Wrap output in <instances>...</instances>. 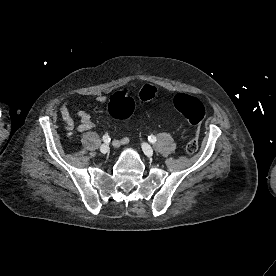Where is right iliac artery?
I'll list each match as a JSON object with an SVG mask.
<instances>
[{
  "instance_id": "82829eb1",
  "label": "right iliac artery",
  "mask_w": 276,
  "mask_h": 276,
  "mask_svg": "<svg viewBox=\"0 0 276 276\" xmlns=\"http://www.w3.org/2000/svg\"><path fill=\"white\" fill-rule=\"evenodd\" d=\"M110 140H111V139H110L109 135L106 134V135L103 136V141H104L105 143H109Z\"/></svg>"
}]
</instances>
